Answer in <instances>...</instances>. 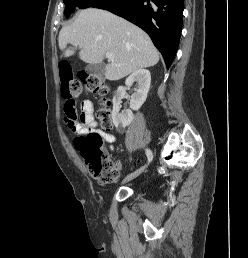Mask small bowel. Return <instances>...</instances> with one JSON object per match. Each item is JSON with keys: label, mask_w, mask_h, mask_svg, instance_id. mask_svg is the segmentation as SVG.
Segmentation results:
<instances>
[{"label": "small bowel", "mask_w": 248, "mask_h": 258, "mask_svg": "<svg viewBox=\"0 0 248 258\" xmlns=\"http://www.w3.org/2000/svg\"><path fill=\"white\" fill-rule=\"evenodd\" d=\"M80 114L76 118V112L72 114L69 112L67 118L68 129H74L75 132L86 133L89 131L97 132L101 135L104 141H106L110 149L113 150V143L115 141V136L110 133H106L98 129L97 122L94 116V107L93 103L90 100H83L80 105ZM122 165L117 164V169H121Z\"/></svg>", "instance_id": "small-bowel-1"}]
</instances>
